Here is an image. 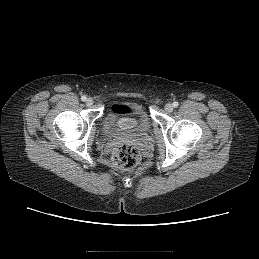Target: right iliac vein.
Instances as JSON below:
<instances>
[{
  "label": "right iliac vein",
  "mask_w": 259,
  "mask_h": 259,
  "mask_svg": "<svg viewBox=\"0 0 259 259\" xmlns=\"http://www.w3.org/2000/svg\"><path fill=\"white\" fill-rule=\"evenodd\" d=\"M93 103H94V101H93L92 98H88V99L86 100V105H87V106H91V105H93Z\"/></svg>",
  "instance_id": "obj_1"
}]
</instances>
